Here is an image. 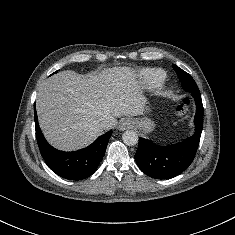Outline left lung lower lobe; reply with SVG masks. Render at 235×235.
Listing matches in <instances>:
<instances>
[{
  "label": "left lung lower lobe",
  "mask_w": 235,
  "mask_h": 235,
  "mask_svg": "<svg viewBox=\"0 0 235 235\" xmlns=\"http://www.w3.org/2000/svg\"><path fill=\"white\" fill-rule=\"evenodd\" d=\"M183 89L191 93L196 103L194 118L195 133L184 141L158 146L152 141L139 137V146L135 154L137 165L146 175L156 179H170L182 173L193 161L199 146L203 129V105L200 91H196L189 82L182 80Z\"/></svg>",
  "instance_id": "0a47b994"
}]
</instances>
